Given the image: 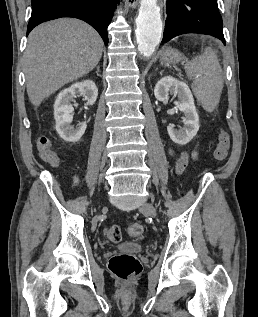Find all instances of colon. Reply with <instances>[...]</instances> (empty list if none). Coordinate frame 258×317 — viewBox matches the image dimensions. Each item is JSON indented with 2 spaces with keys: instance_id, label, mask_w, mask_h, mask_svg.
I'll return each mask as SVG.
<instances>
[{
  "instance_id": "5ec220e1",
  "label": "colon",
  "mask_w": 258,
  "mask_h": 317,
  "mask_svg": "<svg viewBox=\"0 0 258 317\" xmlns=\"http://www.w3.org/2000/svg\"><path fill=\"white\" fill-rule=\"evenodd\" d=\"M230 148V135L226 130H221L218 135L216 146L213 150L214 159L218 162L223 161ZM42 160L50 165H56L59 162V156L56 152L49 153L43 150L40 154ZM127 235L135 240L142 239L145 234L144 227L139 223H130L126 227ZM105 234L112 242H119L122 238L121 228L117 225L106 229ZM109 271L121 281H131L139 276L142 266L137 257L118 253L113 255L108 262Z\"/></svg>"
}]
</instances>
